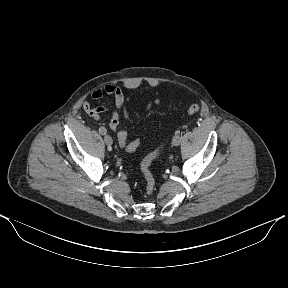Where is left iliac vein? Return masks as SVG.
I'll return each mask as SVG.
<instances>
[{"label": "left iliac vein", "instance_id": "obj_1", "mask_svg": "<svg viewBox=\"0 0 288 288\" xmlns=\"http://www.w3.org/2000/svg\"><path fill=\"white\" fill-rule=\"evenodd\" d=\"M181 142V137L180 136H176L174 135L173 139H172V143L174 146H178Z\"/></svg>", "mask_w": 288, "mask_h": 288}]
</instances>
